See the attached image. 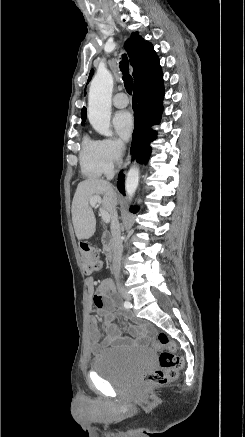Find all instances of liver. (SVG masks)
Instances as JSON below:
<instances>
[{"mask_svg":"<svg viewBox=\"0 0 245 437\" xmlns=\"http://www.w3.org/2000/svg\"><path fill=\"white\" fill-rule=\"evenodd\" d=\"M103 196L102 209L109 213L110 220L113 219L114 206L117 203L118 195L112 185L99 179H87L77 186L72 202V222L78 240L91 238L96 230V219L89 204L90 198Z\"/></svg>","mask_w":245,"mask_h":437,"instance_id":"obj_1","label":"liver"}]
</instances>
